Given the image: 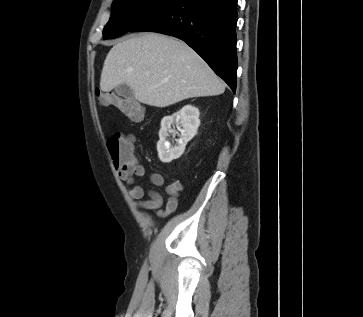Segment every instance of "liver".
<instances>
[{"label":"liver","mask_w":363,"mask_h":317,"mask_svg":"<svg viewBox=\"0 0 363 317\" xmlns=\"http://www.w3.org/2000/svg\"><path fill=\"white\" fill-rule=\"evenodd\" d=\"M120 84L128 85L139 102L155 107L225 91L223 81L191 47L152 32L131 35L109 51L100 88L108 92Z\"/></svg>","instance_id":"obj_1"}]
</instances>
